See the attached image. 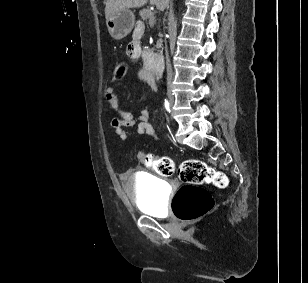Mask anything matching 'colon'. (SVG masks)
<instances>
[{
	"label": "colon",
	"instance_id": "1",
	"mask_svg": "<svg viewBox=\"0 0 308 283\" xmlns=\"http://www.w3.org/2000/svg\"><path fill=\"white\" fill-rule=\"evenodd\" d=\"M127 73V64L119 61L113 69L115 79L123 78ZM139 160L145 167L155 171L161 176H171L178 173L183 185L177 190L173 197L172 208L175 216L183 221L198 219L209 212L214 206L211 194L202 186L211 184L224 188L228 179L224 173L212 168L207 163L188 159L179 164L167 156H156L152 154H139Z\"/></svg>",
	"mask_w": 308,
	"mask_h": 283
}]
</instances>
